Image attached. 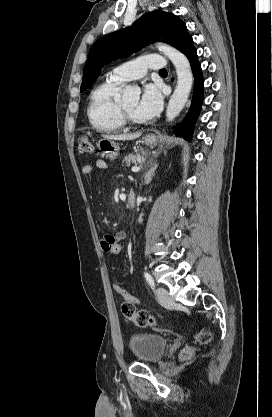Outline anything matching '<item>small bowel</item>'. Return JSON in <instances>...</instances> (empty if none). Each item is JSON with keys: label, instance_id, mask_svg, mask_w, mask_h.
<instances>
[{"label": "small bowel", "instance_id": "obj_1", "mask_svg": "<svg viewBox=\"0 0 272 417\" xmlns=\"http://www.w3.org/2000/svg\"><path fill=\"white\" fill-rule=\"evenodd\" d=\"M108 167L107 163L104 160H97L95 165H84L82 167V174L85 176L91 175L95 168L97 169H106ZM124 231H115L113 233L106 234L103 239L101 240V248L107 252L108 244L114 239H124L125 238Z\"/></svg>", "mask_w": 272, "mask_h": 417}]
</instances>
